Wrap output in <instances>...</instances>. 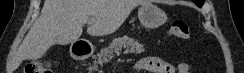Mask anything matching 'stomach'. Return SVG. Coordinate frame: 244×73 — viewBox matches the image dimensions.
I'll list each match as a JSON object with an SVG mask.
<instances>
[{"label": "stomach", "instance_id": "obj_1", "mask_svg": "<svg viewBox=\"0 0 244 73\" xmlns=\"http://www.w3.org/2000/svg\"><path fill=\"white\" fill-rule=\"evenodd\" d=\"M138 17L141 24L148 29L157 28L163 25L167 20L166 13L151 3L141 5L138 9Z\"/></svg>", "mask_w": 244, "mask_h": 73}]
</instances>
